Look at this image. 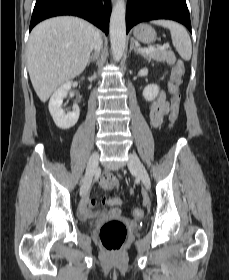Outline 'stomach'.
I'll list each match as a JSON object with an SVG mask.
<instances>
[{"mask_svg":"<svg viewBox=\"0 0 229 280\" xmlns=\"http://www.w3.org/2000/svg\"><path fill=\"white\" fill-rule=\"evenodd\" d=\"M133 35L136 40L145 44H151L157 38L155 30L147 24H139L135 26L133 29Z\"/></svg>","mask_w":229,"mask_h":280,"instance_id":"0dacf381","label":"stomach"}]
</instances>
